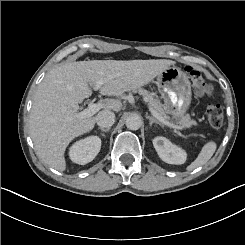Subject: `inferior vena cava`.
Returning a JSON list of instances; mask_svg holds the SVG:
<instances>
[{
  "mask_svg": "<svg viewBox=\"0 0 245 245\" xmlns=\"http://www.w3.org/2000/svg\"><path fill=\"white\" fill-rule=\"evenodd\" d=\"M114 121L115 114L110 110H103L99 112L96 116V122L102 128L110 127L111 125H113Z\"/></svg>",
  "mask_w": 245,
  "mask_h": 245,
  "instance_id": "602c4592",
  "label": "inferior vena cava"
}]
</instances>
